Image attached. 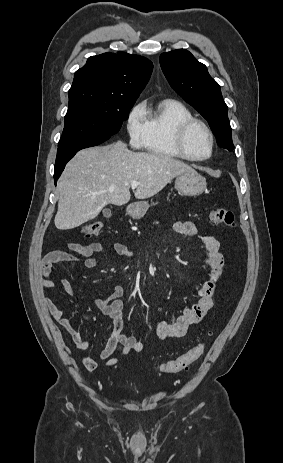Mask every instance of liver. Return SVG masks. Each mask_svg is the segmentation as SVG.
I'll return each mask as SVG.
<instances>
[{
  "label": "liver",
  "mask_w": 283,
  "mask_h": 463,
  "mask_svg": "<svg viewBox=\"0 0 283 463\" xmlns=\"http://www.w3.org/2000/svg\"><path fill=\"white\" fill-rule=\"evenodd\" d=\"M195 172L172 157L132 152L123 142L79 151L66 165L57 183L59 192L55 226L76 228L98 216L107 204L125 205L130 200L132 181L140 182L137 199L160 192L179 175Z\"/></svg>",
  "instance_id": "liver-1"
}]
</instances>
